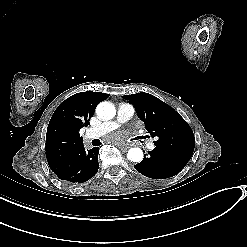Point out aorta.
<instances>
[{
  "label": "aorta",
  "mask_w": 247,
  "mask_h": 247,
  "mask_svg": "<svg viewBox=\"0 0 247 247\" xmlns=\"http://www.w3.org/2000/svg\"><path fill=\"white\" fill-rule=\"evenodd\" d=\"M97 116L102 120H110L116 114L115 107L112 103L104 101L98 104L96 108ZM127 158L131 162H141L143 159V151L140 148H131L127 153Z\"/></svg>",
  "instance_id": "aorta-1"
}]
</instances>
